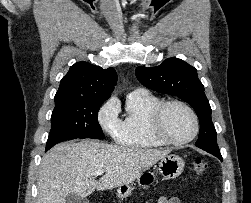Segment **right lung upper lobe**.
<instances>
[{
    "mask_svg": "<svg viewBox=\"0 0 251 203\" xmlns=\"http://www.w3.org/2000/svg\"><path fill=\"white\" fill-rule=\"evenodd\" d=\"M117 82L113 68L103 69L87 62H77L61 79L55 106L82 100L108 99Z\"/></svg>",
    "mask_w": 251,
    "mask_h": 203,
    "instance_id": "right-lung-upper-lobe-1",
    "label": "right lung upper lobe"
}]
</instances>
